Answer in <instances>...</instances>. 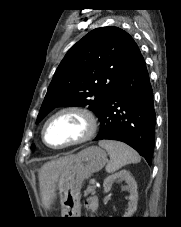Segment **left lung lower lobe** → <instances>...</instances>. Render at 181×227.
<instances>
[{
    "mask_svg": "<svg viewBox=\"0 0 181 227\" xmlns=\"http://www.w3.org/2000/svg\"><path fill=\"white\" fill-rule=\"evenodd\" d=\"M95 140L125 142L151 164L155 145L156 114L153 90L140 51L116 85L100 117Z\"/></svg>",
    "mask_w": 181,
    "mask_h": 227,
    "instance_id": "1",
    "label": "left lung lower lobe"
}]
</instances>
